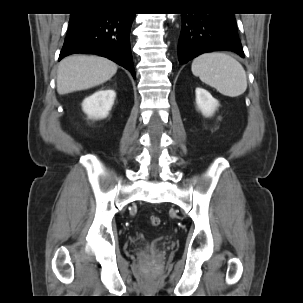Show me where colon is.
Wrapping results in <instances>:
<instances>
[{
	"label": "colon",
	"instance_id": "1",
	"mask_svg": "<svg viewBox=\"0 0 303 303\" xmlns=\"http://www.w3.org/2000/svg\"><path fill=\"white\" fill-rule=\"evenodd\" d=\"M149 223L152 225V226H158L160 224V217L159 216H156V215H151L149 217Z\"/></svg>",
	"mask_w": 303,
	"mask_h": 303
}]
</instances>
